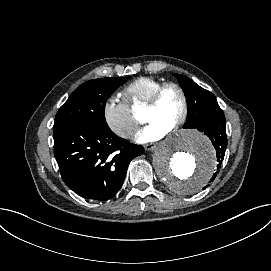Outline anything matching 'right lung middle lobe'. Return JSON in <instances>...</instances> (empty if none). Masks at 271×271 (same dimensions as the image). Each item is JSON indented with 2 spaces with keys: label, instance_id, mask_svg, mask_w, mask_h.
Returning <instances> with one entry per match:
<instances>
[{
  "label": "right lung middle lobe",
  "instance_id": "obj_1",
  "mask_svg": "<svg viewBox=\"0 0 271 271\" xmlns=\"http://www.w3.org/2000/svg\"><path fill=\"white\" fill-rule=\"evenodd\" d=\"M126 78H101L80 85L58 110L53 131L72 124L107 127L104 109L107 99Z\"/></svg>",
  "mask_w": 271,
  "mask_h": 271
}]
</instances>
